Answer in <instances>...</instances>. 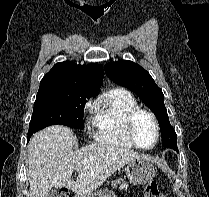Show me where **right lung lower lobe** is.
<instances>
[{"label":"right lung lower lobe","instance_id":"98d812e1","mask_svg":"<svg viewBox=\"0 0 209 197\" xmlns=\"http://www.w3.org/2000/svg\"><path fill=\"white\" fill-rule=\"evenodd\" d=\"M31 135H32V134H29V133H28V137H27V140H28V141H29Z\"/></svg>","mask_w":209,"mask_h":197}]
</instances>
